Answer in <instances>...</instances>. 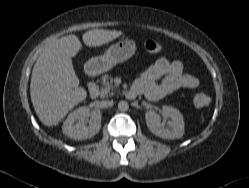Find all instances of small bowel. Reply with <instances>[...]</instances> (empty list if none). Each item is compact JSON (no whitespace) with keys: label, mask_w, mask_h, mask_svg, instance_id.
Masks as SVG:
<instances>
[{"label":"small bowel","mask_w":249,"mask_h":188,"mask_svg":"<svg viewBox=\"0 0 249 188\" xmlns=\"http://www.w3.org/2000/svg\"><path fill=\"white\" fill-rule=\"evenodd\" d=\"M198 86V79L184 73L180 61L162 57L140 73L133 88L147 99L157 101L180 88L195 90Z\"/></svg>","instance_id":"small-bowel-1"}]
</instances>
